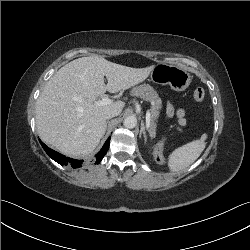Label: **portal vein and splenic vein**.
<instances>
[{
	"label": "portal vein and splenic vein",
	"instance_id": "obj_1",
	"mask_svg": "<svg viewBox=\"0 0 250 250\" xmlns=\"http://www.w3.org/2000/svg\"><path fill=\"white\" fill-rule=\"evenodd\" d=\"M97 103L98 105H108V104H111L112 101L108 97H103L102 100H99ZM150 120H151V113L148 111L146 113V123L148 127L150 126Z\"/></svg>",
	"mask_w": 250,
	"mask_h": 250
}]
</instances>
